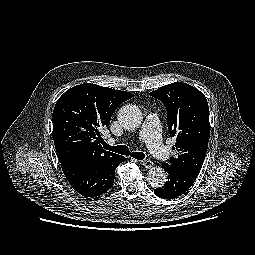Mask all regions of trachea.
<instances>
[{"label":"trachea","mask_w":255,"mask_h":255,"mask_svg":"<svg viewBox=\"0 0 255 255\" xmlns=\"http://www.w3.org/2000/svg\"><path fill=\"white\" fill-rule=\"evenodd\" d=\"M105 148L107 150H110L112 152L121 154V155H126V156H131L137 160H143L145 158L144 153L142 152H130L127 146L125 145H118V146H110L107 143L104 144Z\"/></svg>","instance_id":"1"}]
</instances>
